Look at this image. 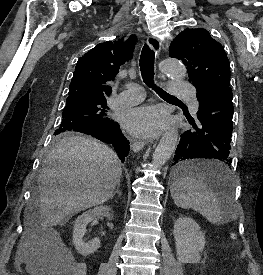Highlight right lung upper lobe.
<instances>
[{
	"instance_id": "obj_1",
	"label": "right lung upper lobe",
	"mask_w": 263,
	"mask_h": 275,
	"mask_svg": "<svg viewBox=\"0 0 263 275\" xmlns=\"http://www.w3.org/2000/svg\"><path fill=\"white\" fill-rule=\"evenodd\" d=\"M136 36L128 40L100 43L85 53L77 62L69 86L68 97L95 95L106 97L112 92L108 82L113 80L119 68L133 57Z\"/></svg>"
}]
</instances>
